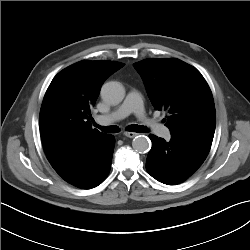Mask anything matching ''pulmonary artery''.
Returning a JSON list of instances; mask_svg holds the SVG:
<instances>
[{"label":"pulmonary artery","mask_w":250,"mask_h":250,"mask_svg":"<svg viewBox=\"0 0 250 250\" xmlns=\"http://www.w3.org/2000/svg\"><path fill=\"white\" fill-rule=\"evenodd\" d=\"M131 113L135 114L143 125L151 129L159 137L164 139L170 138L171 132L168 127L159 124L146 115L141 94L137 90H131L125 101L116 110L108 114L98 115L96 121L101 125H108L127 117Z\"/></svg>","instance_id":"1"}]
</instances>
